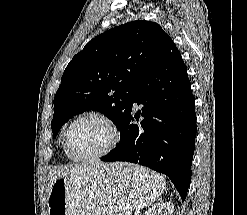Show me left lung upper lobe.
Wrapping results in <instances>:
<instances>
[{
    "mask_svg": "<svg viewBox=\"0 0 247 215\" xmlns=\"http://www.w3.org/2000/svg\"><path fill=\"white\" fill-rule=\"evenodd\" d=\"M172 39L157 23L133 21L92 39L66 67L54 97L53 137L74 115L104 113L120 128L136 88Z\"/></svg>",
    "mask_w": 247,
    "mask_h": 215,
    "instance_id": "1",
    "label": "left lung upper lobe"
}]
</instances>
